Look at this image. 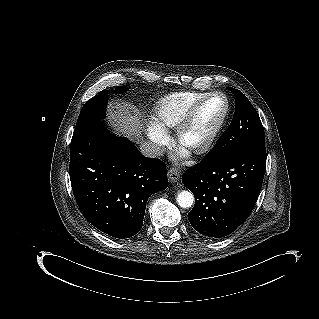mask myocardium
Returning a JSON list of instances; mask_svg holds the SVG:
<instances>
[{
  "label": "myocardium",
  "mask_w": 319,
  "mask_h": 319,
  "mask_svg": "<svg viewBox=\"0 0 319 319\" xmlns=\"http://www.w3.org/2000/svg\"><path fill=\"white\" fill-rule=\"evenodd\" d=\"M214 97H220L223 99L224 102V108L223 112L211 130V132L208 134V136L199 144L195 146H189L186 145L183 141V136L185 134L186 129L190 126V124L193 122L197 112L200 110V108L210 99ZM229 112V102L226 98V96L222 92L214 91L205 94L200 100H198L187 112L183 120L175 127V133H174V139L177 144V146L183 150L184 152L192 155H200L202 153H205L209 150V148L213 145L214 141L216 140L219 132L221 131L224 122L227 118Z\"/></svg>",
  "instance_id": "1"
}]
</instances>
